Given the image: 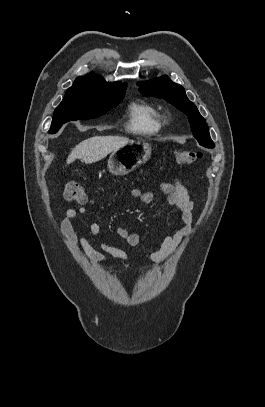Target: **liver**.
Listing matches in <instances>:
<instances>
[{"mask_svg":"<svg viewBox=\"0 0 265 407\" xmlns=\"http://www.w3.org/2000/svg\"><path fill=\"white\" fill-rule=\"evenodd\" d=\"M126 137L95 136L88 138L76 145L67 158V164L75 159H81L86 164L102 160L115 149L129 143Z\"/></svg>","mask_w":265,"mask_h":407,"instance_id":"liver-1","label":"liver"}]
</instances>
